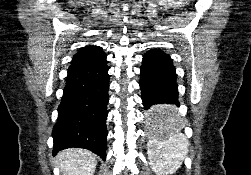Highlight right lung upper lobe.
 Wrapping results in <instances>:
<instances>
[{
	"instance_id": "obj_1",
	"label": "right lung upper lobe",
	"mask_w": 251,
	"mask_h": 175,
	"mask_svg": "<svg viewBox=\"0 0 251 175\" xmlns=\"http://www.w3.org/2000/svg\"><path fill=\"white\" fill-rule=\"evenodd\" d=\"M105 56V53L99 46H86L78 50L74 55L71 65L89 63Z\"/></svg>"
}]
</instances>
